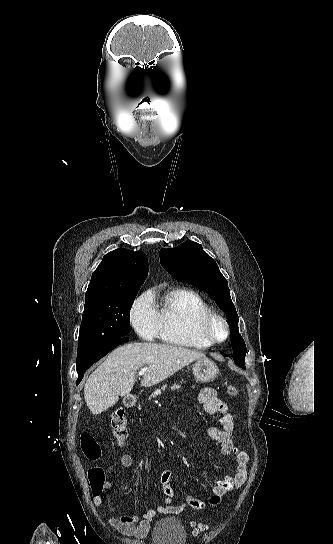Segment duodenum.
Instances as JSON below:
<instances>
[{
    "label": "duodenum",
    "instance_id": "obj_1",
    "mask_svg": "<svg viewBox=\"0 0 333 544\" xmlns=\"http://www.w3.org/2000/svg\"><path fill=\"white\" fill-rule=\"evenodd\" d=\"M136 397L133 395H128L125 397L124 403L127 407H133L136 404Z\"/></svg>",
    "mask_w": 333,
    "mask_h": 544
}]
</instances>
